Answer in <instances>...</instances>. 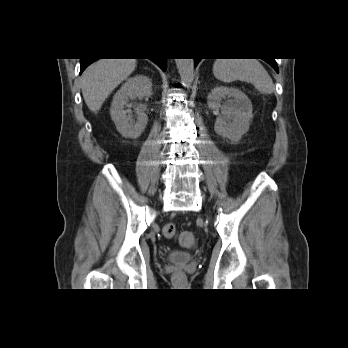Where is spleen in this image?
Wrapping results in <instances>:
<instances>
[{
	"instance_id": "spleen-1",
	"label": "spleen",
	"mask_w": 348,
	"mask_h": 348,
	"mask_svg": "<svg viewBox=\"0 0 348 348\" xmlns=\"http://www.w3.org/2000/svg\"><path fill=\"white\" fill-rule=\"evenodd\" d=\"M215 78L231 83L236 80L252 83L262 94H272L274 91L273 81L256 59H217L213 65Z\"/></svg>"
}]
</instances>
